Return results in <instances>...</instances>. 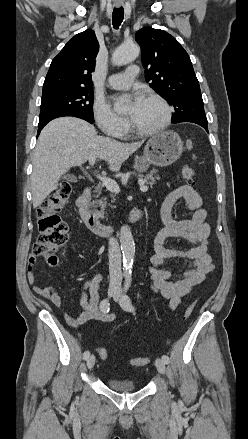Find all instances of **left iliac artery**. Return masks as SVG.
Returning a JSON list of instances; mask_svg holds the SVG:
<instances>
[{"instance_id": "obj_1", "label": "left iliac artery", "mask_w": 248, "mask_h": 439, "mask_svg": "<svg viewBox=\"0 0 248 439\" xmlns=\"http://www.w3.org/2000/svg\"><path fill=\"white\" fill-rule=\"evenodd\" d=\"M132 278L131 275L126 276L125 285H124V294L122 296L121 300V307L126 311H134V306L129 298V296L126 294L131 286ZM162 360L168 364L170 362V359L167 355L162 356Z\"/></svg>"}]
</instances>
